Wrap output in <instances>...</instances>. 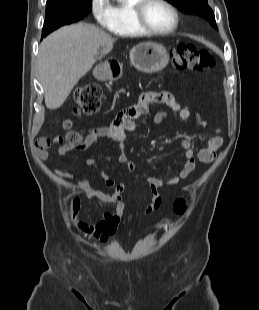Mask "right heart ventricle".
I'll return each mask as SVG.
<instances>
[{"label":"right heart ventricle","mask_w":259,"mask_h":310,"mask_svg":"<svg viewBox=\"0 0 259 310\" xmlns=\"http://www.w3.org/2000/svg\"><path fill=\"white\" fill-rule=\"evenodd\" d=\"M138 0H115L111 5V21L107 28L114 34L124 37L143 35L133 18V6Z\"/></svg>","instance_id":"right-heart-ventricle-1"}]
</instances>
